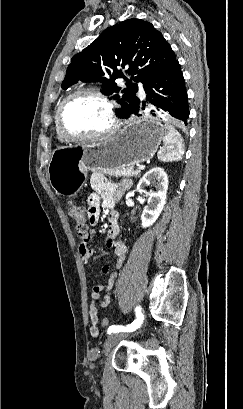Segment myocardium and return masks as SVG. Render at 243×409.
<instances>
[{"mask_svg":"<svg viewBox=\"0 0 243 409\" xmlns=\"http://www.w3.org/2000/svg\"><path fill=\"white\" fill-rule=\"evenodd\" d=\"M79 95L93 96L97 98L98 100H100L106 106L108 118H109V125L106 129H104L101 132L91 134V135H75V134L69 133L65 129L63 117H64L66 107L73 98ZM57 127H58L60 134L68 141H93V140L103 139L115 133L117 129L119 128V120L116 114L115 104L106 94H104L103 92L95 88H81V89H78L70 93L60 103V106L57 112Z\"/></svg>","mask_w":243,"mask_h":409,"instance_id":"myocardium-1","label":"myocardium"}]
</instances>
